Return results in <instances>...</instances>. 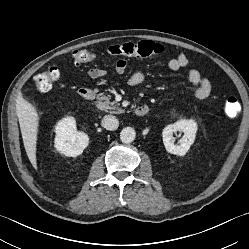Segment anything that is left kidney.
Listing matches in <instances>:
<instances>
[{
  "mask_svg": "<svg viewBox=\"0 0 249 249\" xmlns=\"http://www.w3.org/2000/svg\"><path fill=\"white\" fill-rule=\"evenodd\" d=\"M183 132L182 138L178 141V144L174 143L173 133ZM197 132V123L190 119H180L174 124L167 125L162 132L163 143L166 150L175 155L183 156L190 149V146L194 143Z\"/></svg>",
  "mask_w": 249,
  "mask_h": 249,
  "instance_id": "5707ae66",
  "label": "left kidney"
}]
</instances>
